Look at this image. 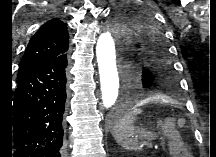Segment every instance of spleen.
Returning <instances> with one entry per match:
<instances>
[{"mask_svg": "<svg viewBox=\"0 0 216 157\" xmlns=\"http://www.w3.org/2000/svg\"><path fill=\"white\" fill-rule=\"evenodd\" d=\"M142 113L141 109H136L123 116L113 129V137L116 142L126 150L136 151L139 149L137 137L141 140H153L157 134L145 129L136 128L133 124L137 116Z\"/></svg>", "mask_w": 216, "mask_h": 157, "instance_id": "obj_1", "label": "spleen"}]
</instances>
